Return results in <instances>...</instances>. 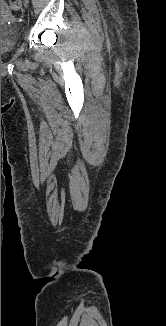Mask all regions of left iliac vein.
Here are the masks:
<instances>
[{
    "instance_id": "4c4485c4",
    "label": "left iliac vein",
    "mask_w": 166,
    "mask_h": 326,
    "mask_svg": "<svg viewBox=\"0 0 166 326\" xmlns=\"http://www.w3.org/2000/svg\"><path fill=\"white\" fill-rule=\"evenodd\" d=\"M26 3H29V0H24Z\"/></svg>"
}]
</instances>
